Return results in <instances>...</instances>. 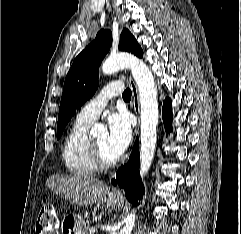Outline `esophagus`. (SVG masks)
Segmentation results:
<instances>
[{"label":"esophagus","instance_id":"obj_1","mask_svg":"<svg viewBox=\"0 0 241 234\" xmlns=\"http://www.w3.org/2000/svg\"><path fill=\"white\" fill-rule=\"evenodd\" d=\"M106 6L109 12L112 11V7H111V3L109 0L106 1ZM129 84L131 87V91H132V106H133V110L135 112L136 115H139V111H140V103H139V93H138V88L137 85L135 83V81L133 80V78L130 76L129 77ZM113 193L117 196H120L122 194L121 190L119 188L115 189L113 191Z\"/></svg>","mask_w":241,"mask_h":234}]
</instances>
